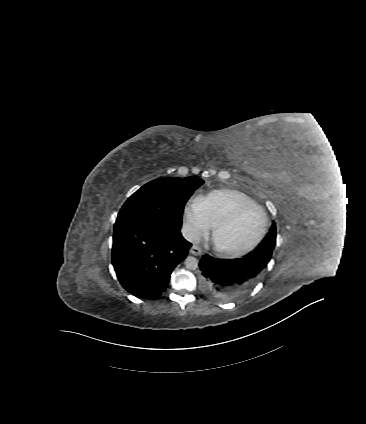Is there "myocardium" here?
<instances>
[{"label":"myocardium","mask_w":366,"mask_h":424,"mask_svg":"<svg viewBox=\"0 0 366 424\" xmlns=\"http://www.w3.org/2000/svg\"><path fill=\"white\" fill-rule=\"evenodd\" d=\"M250 208L258 209L263 216V221H264L263 227H262L261 232L257 236V238L253 242H251L249 245L242 247V248H238V249H231V248L220 246L216 242L217 232L222 227H224L225 225H227V224L231 223L233 220H235L236 217L241 212H243L247 209H250ZM268 225H269V219H268L267 213L264 210V208H262L260 205L255 204V203L241 204V205L235 207L233 210H231L229 213H227L225 216L221 217L219 220H217L214 223L213 228H212V232H211V239H212L213 246H214V248L217 252H219L220 254L225 255V256L237 257V256L244 255V254L250 252L251 250H253L255 247H257L261 243V241L263 240V238L265 237V235L267 233Z\"/></svg>","instance_id":"obj_1"}]
</instances>
